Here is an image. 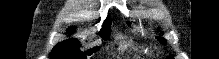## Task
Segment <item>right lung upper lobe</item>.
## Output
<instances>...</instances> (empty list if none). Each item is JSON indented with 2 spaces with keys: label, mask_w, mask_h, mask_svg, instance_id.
<instances>
[{
  "label": "right lung upper lobe",
  "mask_w": 219,
  "mask_h": 59,
  "mask_svg": "<svg viewBox=\"0 0 219 59\" xmlns=\"http://www.w3.org/2000/svg\"><path fill=\"white\" fill-rule=\"evenodd\" d=\"M107 26H111V19L109 17L104 22L102 29L106 28Z\"/></svg>",
  "instance_id": "1"
}]
</instances>
